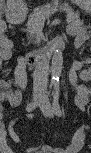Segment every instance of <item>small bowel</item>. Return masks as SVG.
I'll list each match as a JSON object with an SVG mask.
<instances>
[{
	"mask_svg": "<svg viewBox=\"0 0 91 153\" xmlns=\"http://www.w3.org/2000/svg\"><path fill=\"white\" fill-rule=\"evenodd\" d=\"M4 26L3 31H5L6 25L5 23H1ZM10 51V42H8L4 47H2V57L6 58L9 57ZM72 83L75 85L77 90L76 95V104L81 110H85L89 104V96L86 89L82 86L77 84V71H74L72 74ZM13 84L18 88L15 92L7 90L4 93L5 98L10 102L11 105L17 106L22 100L23 90L26 86V64L23 60H20L15 69V79ZM10 84H7V88ZM88 130L87 126H82L73 139L61 149H52L49 145L41 144L38 147L30 148L27 150L29 153H76L80 150L83 145L84 138L86 132ZM12 139L16 143H21V139L13 132H10ZM0 143L2 151L5 153H10V148L7 146V132L4 128L0 129Z\"/></svg>",
	"mask_w": 91,
	"mask_h": 153,
	"instance_id": "c3829d8e",
	"label": "small bowel"
}]
</instances>
